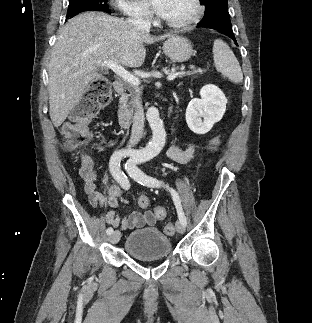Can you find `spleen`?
Returning a JSON list of instances; mask_svg holds the SVG:
<instances>
[{
	"mask_svg": "<svg viewBox=\"0 0 312 323\" xmlns=\"http://www.w3.org/2000/svg\"><path fill=\"white\" fill-rule=\"evenodd\" d=\"M213 58L215 68L222 76H227L228 80H231L234 84H241L243 82V74L239 62L223 40H214Z\"/></svg>",
	"mask_w": 312,
	"mask_h": 323,
	"instance_id": "spleen-1",
	"label": "spleen"
}]
</instances>
